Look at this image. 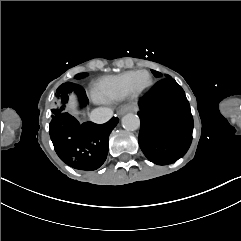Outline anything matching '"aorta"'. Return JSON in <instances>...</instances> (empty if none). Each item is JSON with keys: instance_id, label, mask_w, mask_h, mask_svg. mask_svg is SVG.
<instances>
[{"instance_id": "obj_1", "label": "aorta", "mask_w": 241, "mask_h": 241, "mask_svg": "<svg viewBox=\"0 0 241 241\" xmlns=\"http://www.w3.org/2000/svg\"><path fill=\"white\" fill-rule=\"evenodd\" d=\"M122 126L127 131H135L140 127V119L138 115L128 113L122 117Z\"/></svg>"}]
</instances>
